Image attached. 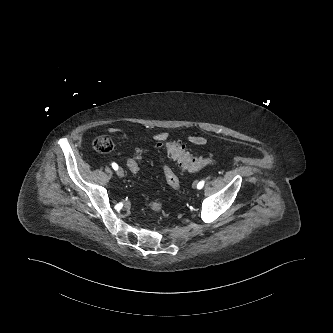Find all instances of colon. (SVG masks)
Returning <instances> with one entry per match:
<instances>
[{
	"mask_svg": "<svg viewBox=\"0 0 333 333\" xmlns=\"http://www.w3.org/2000/svg\"><path fill=\"white\" fill-rule=\"evenodd\" d=\"M94 148L101 152L107 153L113 149V140L106 135L99 136L93 141ZM160 144L157 145L159 147ZM166 151L168 155L176 160L180 168L184 171L194 172L210 161V157H201L192 155L186 148V146L180 141H169L165 144ZM143 157L142 149H135L126 159V166L132 173H138L141 170V160ZM164 175L168 185L177 190L180 187V182L177 175L169 166H164ZM163 203L160 199H155L150 204L151 216L154 217L162 210Z\"/></svg>",
	"mask_w": 333,
	"mask_h": 333,
	"instance_id": "obj_1",
	"label": "colon"
}]
</instances>
